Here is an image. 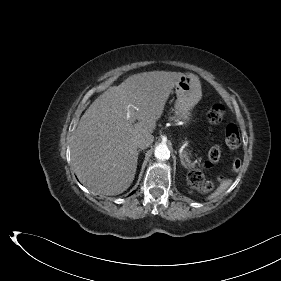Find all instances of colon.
<instances>
[{"label":"colon","mask_w":281,"mask_h":281,"mask_svg":"<svg viewBox=\"0 0 281 281\" xmlns=\"http://www.w3.org/2000/svg\"><path fill=\"white\" fill-rule=\"evenodd\" d=\"M207 120L212 124H218L222 122L225 116V108L222 104H215L207 111ZM225 142L230 149H237L241 144V138L239 130L235 124H228L225 129ZM221 157V148L215 145L210 148L208 152L207 161L204 166L210 167L216 164ZM241 166V160L236 157L232 163V170L237 171ZM190 183L202 189L203 191H210L213 188V183L205 180L202 173L199 170H193L189 175Z\"/></svg>","instance_id":"obj_1"}]
</instances>
